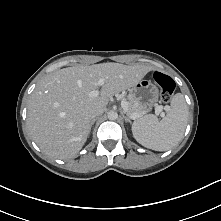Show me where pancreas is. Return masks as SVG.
<instances>
[{"label":"pancreas","mask_w":221,"mask_h":221,"mask_svg":"<svg viewBox=\"0 0 221 221\" xmlns=\"http://www.w3.org/2000/svg\"><path fill=\"white\" fill-rule=\"evenodd\" d=\"M128 109L126 113L128 115H133V114H140L143 115L145 111L143 110L142 106L139 104V102L131 95L128 96Z\"/></svg>","instance_id":"cf45deb5"}]
</instances>
